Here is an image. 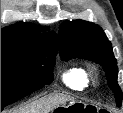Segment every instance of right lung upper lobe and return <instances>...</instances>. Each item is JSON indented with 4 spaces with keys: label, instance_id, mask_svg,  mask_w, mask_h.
<instances>
[{
    "label": "right lung upper lobe",
    "instance_id": "1",
    "mask_svg": "<svg viewBox=\"0 0 123 113\" xmlns=\"http://www.w3.org/2000/svg\"><path fill=\"white\" fill-rule=\"evenodd\" d=\"M48 30L47 27H38L27 22H20L1 30V46L19 45L35 46L46 45L57 53V35L55 32L40 33Z\"/></svg>",
    "mask_w": 123,
    "mask_h": 113
}]
</instances>
